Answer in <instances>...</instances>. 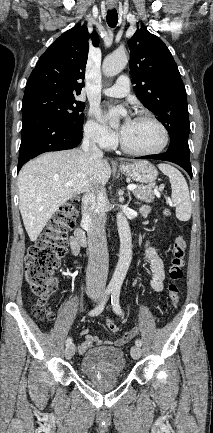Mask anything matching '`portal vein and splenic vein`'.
<instances>
[{
	"label": "portal vein and splenic vein",
	"instance_id": "18ae733b",
	"mask_svg": "<svg viewBox=\"0 0 213 433\" xmlns=\"http://www.w3.org/2000/svg\"><path fill=\"white\" fill-rule=\"evenodd\" d=\"M67 186H71L72 185V183L71 182H67V184H66ZM128 190H130V191H133V190H135L136 188H137V186L136 185H134V184H132V185H128Z\"/></svg>",
	"mask_w": 213,
	"mask_h": 433
}]
</instances>
